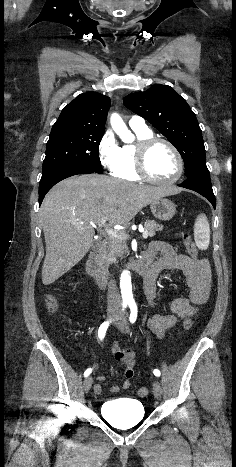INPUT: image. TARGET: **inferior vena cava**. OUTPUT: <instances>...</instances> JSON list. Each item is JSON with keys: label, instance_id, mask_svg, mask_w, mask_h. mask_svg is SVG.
I'll use <instances>...</instances> for the list:
<instances>
[{"label": "inferior vena cava", "instance_id": "602c4592", "mask_svg": "<svg viewBox=\"0 0 236 467\" xmlns=\"http://www.w3.org/2000/svg\"><path fill=\"white\" fill-rule=\"evenodd\" d=\"M107 304L109 307L117 309H119L122 305L121 296L114 279H111L108 284Z\"/></svg>", "mask_w": 236, "mask_h": 467}]
</instances>
